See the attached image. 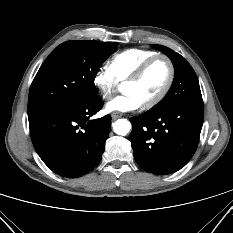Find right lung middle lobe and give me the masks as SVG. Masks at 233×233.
<instances>
[{"label":"right lung middle lobe","mask_w":233,"mask_h":233,"mask_svg":"<svg viewBox=\"0 0 233 233\" xmlns=\"http://www.w3.org/2000/svg\"><path fill=\"white\" fill-rule=\"evenodd\" d=\"M117 46L114 42L89 40L60 44L42 64L32 82L28 110L74 105L94 96L96 73Z\"/></svg>","instance_id":"1"}]
</instances>
